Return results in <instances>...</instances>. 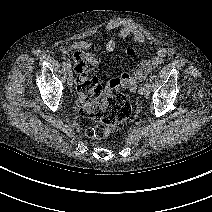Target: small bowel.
<instances>
[{"instance_id":"obj_1","label":"small bowel","mask_w":212,"mask_h":212,"mask_svg":"<svg viewBox=\"0 0 212 212\" xmlns=\"http://www.w3.org/2000/svg\"><path fill=\"white\" fill-rule=\"evenodd\" d=\"M118 29L116 37L109 39L105 44V51L112 53L116 50L119 40L133 39L138 44L146 45L149 40L136 26L129 22H123L118 20H112L107 23L106 30L112 31ZM92 46V43L87 40L77 41L69 46H62L60 51L62 54H70L74 51L85 50ZM128 65L132 66L135 63L137 52L134 48H128L126 51ZM172 50L170 48L161 47L157 50L156 54L152 57L143 59L136 68L135 74L140 78L145 77L148 73L155 70L163 61L164 58L170 56ZM125 74V73H124ZM132 91L136 87L130 88ZM79 96V93H78Z\"/></svg>"}]
</instances>
